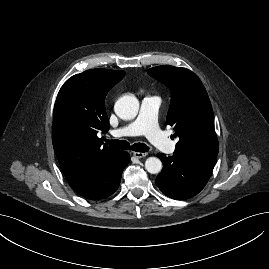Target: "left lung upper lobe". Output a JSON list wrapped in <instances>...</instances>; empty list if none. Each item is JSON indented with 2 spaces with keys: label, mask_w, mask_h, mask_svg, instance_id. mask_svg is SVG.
<instances>
[{
  "label": "left lung upper lobe",
  "mask_w": 269,
  "mask_h": 269,
  "mask_svg": "<svg viewBox=\"0 0 269 269\" xmlns=\"http://www.w3.org/2000/svg\"><path fill=\"white\" fill-rule=\"evenodd\" d=\"M148 74L171 90L166 122L179 137L176 148L218 154L213 110L200 79L186 68L170 65L151 68Z\"/></svg>",
  "instance_id": "5c2ea615"
}]
</instances>
